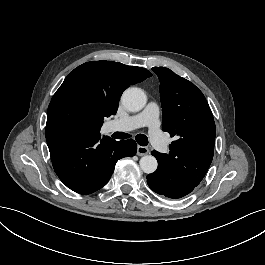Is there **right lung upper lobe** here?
Masks as SVG:
<instances>
[{"mask_svg":"<svg viewBox=\"0 0 265 265\" xmlns=\"http://www.w3.org/2000/svg\"><path fill=\"white\" fill-rule=\"evenodd\" d=\"M152 74L140 67L119 62L94 61L75 68L61 86L71 81H84L98 91L109 107L116 113L123 91L131 84L139 83Z\"/></svg>","mask_w":265,"mask_h":265,"instance_id":"obj_1","label":"right lung upper lobe"}]
</instances>
